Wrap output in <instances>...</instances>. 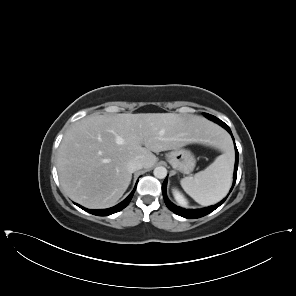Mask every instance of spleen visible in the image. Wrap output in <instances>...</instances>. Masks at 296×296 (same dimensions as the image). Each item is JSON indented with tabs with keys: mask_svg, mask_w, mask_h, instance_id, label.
Returning a JSON list of instances; mask_svg holds the SVG:
<instances>
[{
	"mask_svg": "<svg viewBox=\"0 0 296 296\" xmlns=\"http://www.w3.org/2000/svg\"><path fill=\"white\" fill-rule=\"evenodd\" d=\"M214 145L224 153L194 177H185L180 181L184 191L203 206L219 202L227 195L231 186L233 156L230 143L218 139Z\"/></svg>",
	"mask_w": 296,
	"mask_h": 296,
	"instance_id": "1",
	"label": "spleen"
}]
</instances>
